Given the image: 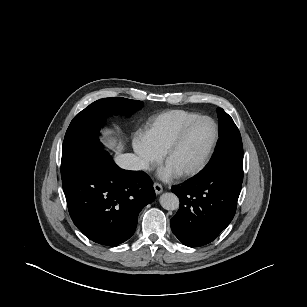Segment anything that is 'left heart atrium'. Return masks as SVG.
<instances>
[{
	"label": "left heart atrium",
	"mask_w": 307,
	"mask_h": 307,
	"mask_svg": "<svg viewBox=\"0 0 307 307\" xmlns=\"http://www.w3.org/2000/svg\"><path fill=\"white\" fill-rule=\"evenodd\" d=\"M176 175H178V173L174 171L173 169H171L170 167H168L167 165L161 172V177L163 179H169V178L175 177Z\"/></svg>",
	"instance_id": "39dd6f15"
}]
</instances>
